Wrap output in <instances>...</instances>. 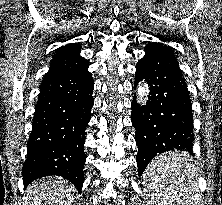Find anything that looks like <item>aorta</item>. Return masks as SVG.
Segmentation results:
<instances>
[{"label":"aorta","instance_id":"obj_1","mask_svg":"<svg viewBox=\"0 0 222 205\" xmlns=\"http://www.w3.org/2000/svg\"><path fill=\"white\" fill-rule=\"evenodd\" d=\"M147 86L144 82H140V84L137 87L136 93H137V97H138V102L139 104L143 105L145 100H146V96H147Z\"/></svg>","mask_w":222,"mask_h":205}]
</instances>
